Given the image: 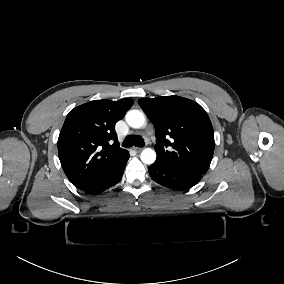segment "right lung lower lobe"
Returning a JSON list of instances; mask_svg holds the SVG:
<instances>
[{"instance_id":"obj_1","label":"right lung lower lobe","mask_w":284,"mask_h":284,"mask_svg":"<svg viewBox=\"0 0 284 284\" xmlns=\"http://www.w3.org/2000/svg\"><path fill=\"white\" fill-rule=\"evenodd\" d=\"M129 159V154H127L123 161L119 163L111 172H109L103 179H101L98 183L95 185L89 187L85 190V192L89 194H97L105 191L106 189L114 186L117 184L122 176L123 172L126 166V163Z\"/></svg>"}]
</instances>
